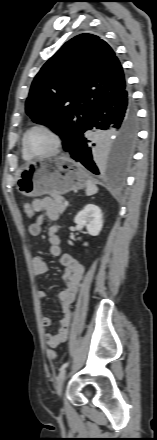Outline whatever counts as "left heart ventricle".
I'll return each instance as SVG.
<instances>
[{
  "instance_id": "obj_1",
  "label": "left heart ventricle",
  "mask_w": 157,
  "mask_h": 440,
  "mask_svg": "<svg viewBox=\"0 0 157 440\" xmlns=\"http://www.w3.org/2000/svg\"><path fill=\"white\" fill-rule=\"evenodd\" d=\"M27 145L33 154H46L52 150L54 139L45 130L36 129L29 134Z\"/></svg>"
}]
</instances>
